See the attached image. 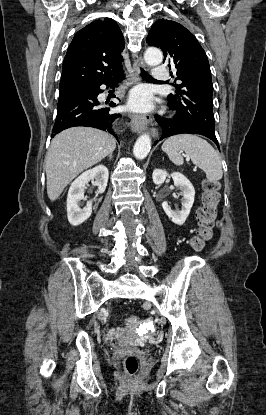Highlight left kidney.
<instances>
[{
	"label": "left kidney",
	"mask_w": 266,
	"mask_h": 415,
	"mask_svg": "<svg viewBox=\"0 0 266 415\" xmlns=\"http://www.w3.org/2000/svg\"><path fill=\"white\" fill-rule=\"evenodd\" d=\"M168 173L165 170L156 169L152 174L153 182L156 185H161L165 182ZM174 181V185L181 190V210H172L167 201L162 203V208L171 219V221L177 225H182L193 206L195 190L191 182L181 173L174 172L170 175Z\"/></svg>",
	"instance_id": "1"
}]
</instances>
